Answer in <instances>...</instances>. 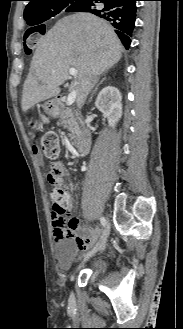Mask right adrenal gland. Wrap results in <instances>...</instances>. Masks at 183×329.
Returning a JSON list of instances; mask_svg holds the SVG:
<instances>
[{
    "label": "right adrenal gland",
    "instance_id": "right-adrenal-gland-1",
    "mask_svg": "<svg viewBox=\"0 0 183 329\" xmlns=\"http://www.w3.org/2000/svg\"><path fill=\"white\" fill-rule=\"evenodd\" d=\"M105 80V77L98 83L96 84L94 90L92 91L91 95H90V98H89V103L91 102L92 98H93V95L96 93L98 87L100 84H102V82Z\"/></svg>",
    "mask_w": 183,
    "mask_h": 329
}]
</instances>
